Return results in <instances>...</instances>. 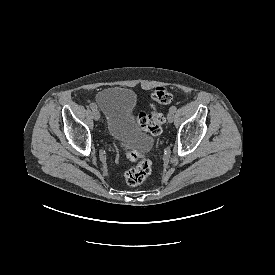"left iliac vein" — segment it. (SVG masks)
<instances>
[{"label": "left iliac vein", "mask_w": 275, "mask_h": 275, "mask_svg": "<svg viewBox=\"0 0 275 275\" xmlns=\"http://www.w3.org/2000/svg\"><path fill=\"white\" fill-rule=\"evenodd\" d=\"M168 122H173L174 120V114L173 112H169L168 116H167Z\"/></svg>", "instance_id": "1"}]
</instances>
